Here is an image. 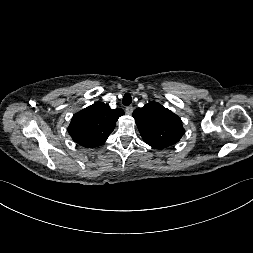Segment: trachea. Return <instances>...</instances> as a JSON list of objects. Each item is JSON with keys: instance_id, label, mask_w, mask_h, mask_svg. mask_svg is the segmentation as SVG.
Here are the masks:
<instances>
[{"instance_id": "trachea-1", "label": "trachea", "mask_w": 253, "mask_h": 253, "mask_svg": "<svg viewBox=\"0 0 253 253\" xmlns=\"http://www.w3.org/2000/svg\"><path fill=\"white\" fill-rule=\"evenodd\" d=\"M123 104L125 106H129L132 102V97L129 93H126L123 97V100H122Z\"/></svg>"}]
</instances>
